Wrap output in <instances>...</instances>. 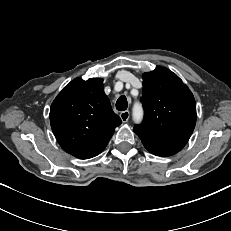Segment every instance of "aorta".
Instances as JSON below:
<instances>
[{"label":"aorta","instance_id":"aorta-1","mask_svg":"<svg viewBox=\"0 0 231 231\" xmlns=\"http://www.w3.org/2000/svg\"><path fill=\"white\" fill-rule=\"evenodd\" d=\"M143 118V110L140 104H136L133 108V120L140 123Z\"/></svg>","mask_w":231,"mask_h":231}]
</instances>
